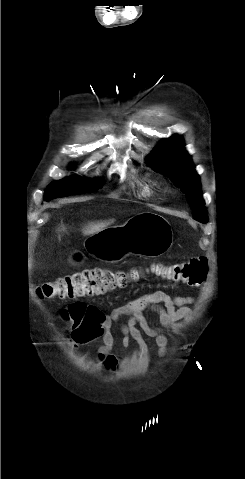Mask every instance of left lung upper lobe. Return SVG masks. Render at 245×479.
I'll use <instances>...</instances> for the list:
<instances>
[{"instance_id":"1","label":"left lung upper lobe","mask_w":245,"mask_h":479,"mask_svg":"<svg viewBox=\"0 0 245 479\" xmlns=\"http://www.w3.org/2000/svg\"><path fill=\"white\" fill-rule=\"evenodd\" d=\"M148 165L154 171L167 174L177 187L186 194L195 220L206 223L207 210L201 195L199 176L191 157L187 154L181 136H172L161 141L148 156Z\"/></svg>"}]
</instances>
